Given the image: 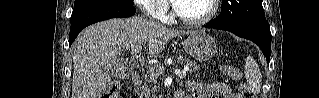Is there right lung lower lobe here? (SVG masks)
I'll list each match as a JSON object with an SVG mask.
<instances>
[{
  "label": "right lung lower lobe",
  "instance_id": "obj_1",
  "mask_svg": "<svg viewBox=\"0 0 319 98\" xmlns=\"http://www.w3.org/2000/svg\"><path fill=\"white\" fill-rule=\"evenodd\" d=\"M135 12L136 9L134 7L114 3L93 4L74 8L71 16L69 43L71 45L79 32L90 24L115 17H130Z\"/></svg>",
  "mask_w": 319,
  "mask_h": 98
}]
</instances>
